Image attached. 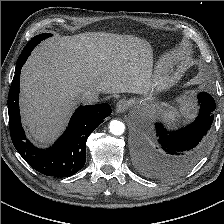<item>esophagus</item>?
Instances as JSON below:
<instances>
[{"label": "esophagus", "mask_w": 224, "mask_h": 224, "mask_svg": "<svg viewBox=\"0 0 224 224\" xmlns=\"http://www.w3.org/2000/svg\"><path fill=\"white\" fill-rule=\"evenodd\" d=\"M129 107V103L126 99H120L116 104V112L117 113H123L125 112Z\"/></svg>", "instance_id": "34e87169"}]
</instances>
